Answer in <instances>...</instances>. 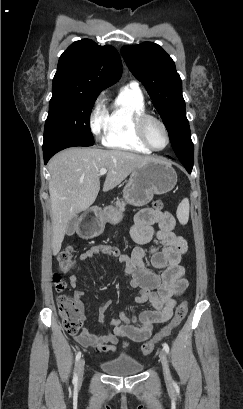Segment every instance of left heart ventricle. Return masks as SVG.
I'll return each mask as SVG.
<instances>
[{"label":"left heart ventricle","instance_id":"left-heart-ventricle-1","mask_svg":"<svg viewBox=\"0 0 243 409\" xmlns=\"http://www.w3.org/2000/svg\"><path fill=\"white\" fill-rule=\"evenodd\" d=\"M146 134L149 141L156 148H163L166 144V135L162 127L155 121H148L146 124Z\"/></svg>","mask_w":243,"mask_h":409}]
</instances>
